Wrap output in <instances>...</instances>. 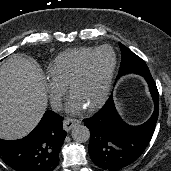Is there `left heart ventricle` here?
<instances>
[{"label": "left heart ventricle", "instance_id": "left-heart-ventricle-1", "mask_svg": "<svg viewBox=\"0 0 171 171\" xmlns=\"http://www.w3.org/2000/svg\"><path fill=\"white\" fill-rule=\"evenodd\" d=\"M112 64L113 55L109 50L97 53L82 78L73 87L71 94L86 107L93 104L103 92Z\"/></svg>", "mask_w": 171, "mask_h": 171}]
</instances>
